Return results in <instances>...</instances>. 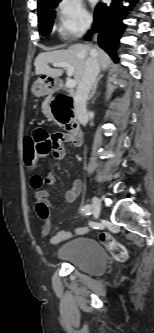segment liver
Here are the masks:
<instances>
[{
	"label": "liver",
	"mask_w": 154,
	"mask_h": 333,
	"mask_svg": "<svg viewBox=\"0 0 154 333\" xmlns=\"http://www.w3.org/2000/svg\"><path fill=\"white\" fill-rule=\"evenodd\" d=\"M92 50L95 51L101 67L106 69L110 65L111 59L102 49L98 46L78 43L67 49L40 53L34 62L35 74L57 78L63 74V69L51 68L49 64L66 62L74 67V80L79 83L84 74L86 60Z\"/></svg>",
	"instance_id": "1"
}]
</instances>
